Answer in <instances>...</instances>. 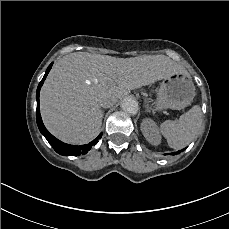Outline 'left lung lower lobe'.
I'll return each instance as SVG.
<instances>
[{"label": "left lung lower lobe", "mask_w": 229, "mask_h": 229, "mask_svg": "<svg viewBox=\"0 0 229 229\" xmlns=\"http://www.w3.org/2000/svg\"><path fill=\"white\" fill-rule=\"evenodd\" d=\"M180 152H181V151H177V152H174V153H172V154H174V155H175V154H179Z\"/></svg>", "instance_id": "1"}]
</instances>
